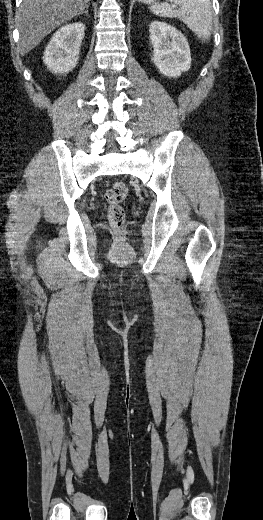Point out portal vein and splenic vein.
Returning a JSON list of instances; mask_svg holds the SVG:
<instances>
[{
    "label": "portal vein and splenic vein",
    "mask_w": 263,
    "mask_h": 520,
    "mask_svg": "<svg viewBox=\"0 0 263 520\" xmlns=\"http://www.w3.org/2000/svg\"><path fill=\"white\" fill-rule=\"evenodd\" d=\"M177 6L176 5H172V8H176Z\"/></svg>",
    "instance_id": "18ae733b"
}]
</instances>
